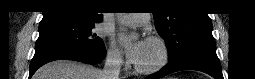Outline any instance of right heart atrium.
Returning a JSON list of instances; mask_svg holds the SVG:
<instances>
[{
    "label": "right heart atrium",
    "mask_w": 255,
    "mask_h": 79,
    "mask_svg": "<svg viewBox=\"0 0 255 79\" xmlns=\"http://www.w3.org/2000/svg\"><path fill=\"white\" fill-rule=\"evenodd\" d=\"M107 57H108V60L113 65L120 66L124 62L123 56H122L120 50L114 44H110L108 52H107Z\"/></svg>",
    "instance_id": "d8ad5b80"
}]
</instances>
